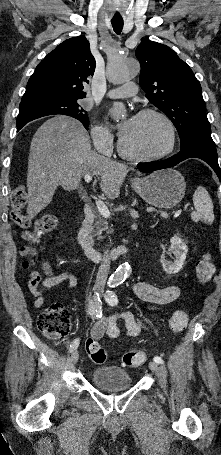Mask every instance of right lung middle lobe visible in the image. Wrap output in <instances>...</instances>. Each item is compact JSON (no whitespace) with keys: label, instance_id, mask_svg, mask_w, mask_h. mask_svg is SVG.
I'll list each match as a JSON object with an SVG mask.
<instances>
[{"label":"right lung middle lobe","instance_id":"1","mask_svg":"<svg viewBox=\"0 0 221 455\" xmlns=\"http://www.w3.org/2000/svg\"><path fill=\"white\" fill-rule=\"evenodd\" d=\"M17 127L23 126L31 120L47 116L62 114L79 120L88 129V116L85 110L78 104V99H66L52 102L19 107Z\"/></svg>","mask_w":221,"mask_h":455}]
</instances>
